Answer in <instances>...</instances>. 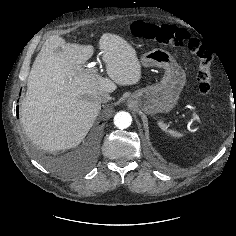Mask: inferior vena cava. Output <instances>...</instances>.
Listing matches in <instances>:
<instances>
[{
    "instance_id": "obj_1",
    "label": "inferior vena cava",
    "mask_w": 236,
    "mask_h": 236,
    "mask_svg": "<svg viewBox=\"0 0 236 236\" xmlns=\"http://www.w3.org/2000/svg\"><path fill=\"white\" fill-rule=\"evenodd\" d=\"M112 98L110 97V95L108 93H102L100 96H99V100L100 102H103V103H106L108 102L109 100H111Z\"/></svg>"
}]
</instances>
